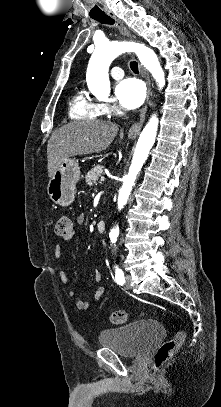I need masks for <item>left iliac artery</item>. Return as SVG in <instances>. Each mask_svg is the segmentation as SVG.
Here are the masks:
<instances>
[{
  "mask_svg": "<svg viewBox=\"0 0 221 407\" xmlns=\"http://www.w3.org/2000/svg\"><path fill=\"white\" fill-rule=\"evenodd\" d=\"M115 280H116L117 284H119V285H123L125 282L124 273L117 266L115 267Z\"/></svg>",
  "mask_w": 221,
  "mask_h": 407,
  "instance_id": "left-iliac-artery-1",
  "label": "left iliac artery"
}]
</instances>
